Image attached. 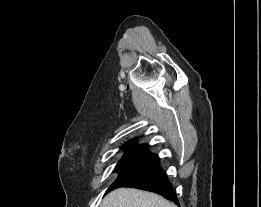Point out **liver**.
Wrapping results in <instances>:
<instances>
[{
    "instance_id": "obj_1",
    "label": "liver",
    "mask_w": 261,
    "mask_h": 207,
    "mask_svg": "<svg viewBox=\"0 0 261 207\" xmlns=\"http://www.w3.org/2000/svg\"><path fill=\"white\" fill-rule=\"evenodd\" d=\"M100 207H176L162 196L134 188L110 192Z\"/></svg>"
}]
</instances>
